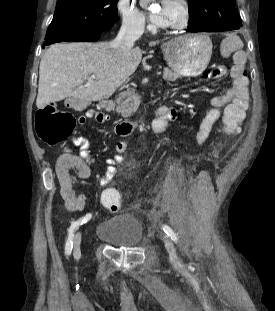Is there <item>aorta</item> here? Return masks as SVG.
Returning a JSON list of instances; mask_svg holds the SVG:
<instances>
[{
    "mask_svg": "<svg viewBox=\"0 0 275 311\" xmlns=\"http://www.w3.org/2000/svg\"><path fill=\"white\" fill-rule=\"evenodd\" d=\"M151 0H140V6L145 7Z\"/></svg>",
    "mask_w": 275,
    "mask_h": 311,
    "instance_id": "obj_1",
    "label": "aorta"
}]
</instances>
